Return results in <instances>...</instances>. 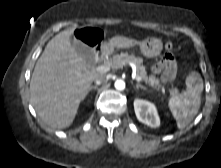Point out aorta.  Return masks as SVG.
Segmentation results:
<instances>
[{"instance_id": "obj_1", "label": "aorta", "mask_w": 221, "mask_h": 168, "mask_svg": "<svg viewBox=\"0 0 221 168\" xmlns=\"http://www.w3.org/2000/svg\"><path fill=\"white\" fill-rule=\"evenodd\" d=\"M114 85L117 90L122 91L125 89V82L121 79L116 80Z\"/></svg>"}]
</instances>
